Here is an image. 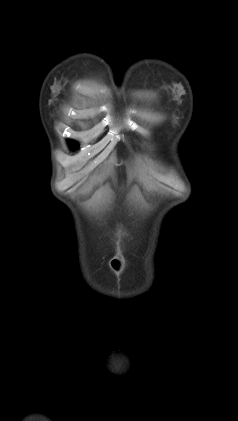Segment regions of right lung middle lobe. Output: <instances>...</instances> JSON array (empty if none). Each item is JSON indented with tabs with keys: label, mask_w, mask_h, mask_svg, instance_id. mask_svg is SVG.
Segmentation results:
<instances>
[{
	"label": "right lung middle lobe",
	"mask_w": 238,
	"mask_h": 421,
	"mask_svg": "<svg viewBox=\"0 0 238 421\" xmlns=\"http://www.w3.org/2000/svg\"><path fill=\"white\" fill-rule=\"evenodd\" d=\"M70 145H71V147L76 148V143L75 142L70 141Z\"/></svg>",
	"instance_id": "1"
}]
</instances>
